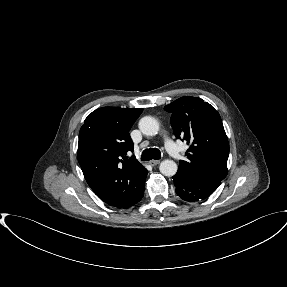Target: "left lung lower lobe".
Instances as JSON below:
<instances>
[{
  "instance_id": "left-lung-lower-lobe-1",
  "label": "left lung lower lobe",
  "mask_w": 287,
  "mask_h": 287,
  "mask_svg": "<svg viewBox=\"0 0 287 287\" xmlns=\"http://www.w3.org/2000/svg\"><path fill=\"white\" fill-rule=\"evenodd\" d=\"M173 181L177 195L190 202L206 199L221 184V182L191 181L179 173L173 176Z\"/></svg>"
}]
</instances>
